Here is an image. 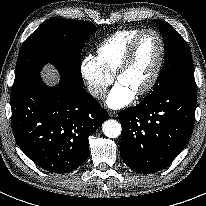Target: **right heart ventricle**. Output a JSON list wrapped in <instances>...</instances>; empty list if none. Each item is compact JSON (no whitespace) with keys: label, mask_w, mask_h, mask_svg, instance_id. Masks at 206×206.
Listing matches in <instances>:
<instances>
[{"label":"right heart ventricle","mask_w":206,"mask_h":206,"mask_svg":"<svg viewBox=\"0 0 206 206\" xmlns=\"http://www.w3.org/2000/svg\"><path fill=\"white\" fill-rule=\"evenodd\" d=\"M142 30L144 29L129 28L119 30L100 44L96 58L108 74L115 75L117 67L130 43Z\"/></svg>","instance_id":"obj_1"}]
</instances>
